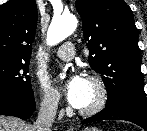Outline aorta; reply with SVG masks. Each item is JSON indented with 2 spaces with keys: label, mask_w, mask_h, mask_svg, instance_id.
Segmentation results:
<instances>
[{
  "label": "aorta",
  "mask_w": 147,
  "mask_h": 131,
  "mask_svg": "<svg viewBox=\"0 0 147 131\" xmlns=\"http://www.w3.org/2000/svg\"><path fill=\"white\" fill-rule=\"evenodd\" d=\"M77 23V18L73 14L54 18L48 29L47 44L53 46L66 39L74 32ZM60 77L64 78L65 75H60Z\"/></svg>",
  "instance_id": "obj_1"
}]
</instances>
